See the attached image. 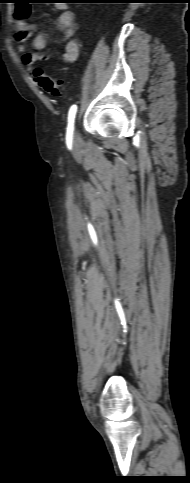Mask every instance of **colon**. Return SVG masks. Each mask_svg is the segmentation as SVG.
<instances>
[{
  "label": "colon",
  "mask_w": 190,
  "mask_h": 483,
  "mask_svg": "<svg viewBox=\"0 0 190 483\" xmlns=\"http://www.w3.org/2000/svg\"><path fill=\"white\" fill-rule=\"evenodd\" d=\"M22 6L30 7V4L26 2L22 4ZM25 17H26L25 10L23 8L18 9L17 18L23 19ZM33 76L37 81L38 85L41 86L47 93L55 97L62 96L64 91V85L62 81L45 74L40 68H36L33 71Z\"/></svg>",
  "instance_id": "5ec220e1"
}]
</instances>
